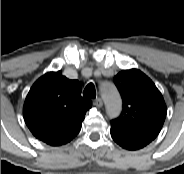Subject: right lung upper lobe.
Segmentation results:
<instances>
[{
  "instance_id": "obj_1",
  "label": "right lung upper lobe",
  "mask_w": 184,
  "mask_h": 174,
  "mask_svg": "<svg viewBox=\"0 0 184 174\" xmlns=\"http://www.w3.org/2000/svg\"><path fill=\"white\" fill-rule=\"evenodd\" d=\"M78 80H69L61 71L48 72L30 89L23 116L32 134L43 142L58 146L72 140L80 131L92 102L81 96Z\"/></svg>"
}]
</instances>
